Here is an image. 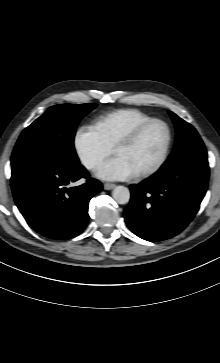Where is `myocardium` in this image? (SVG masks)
Returning <instances> with one entry per match:
<instances>
[{"instance_id":"myocardium-1","label":"myocardium","mask_w":220,"mask_h":363,"mask_svg":"<svg viewBox=\"0 0 220 363\" xmlns=\"http://www.w3.org/2000/svg\"><path fill=\"white\" fill-rule=\"evenodd\" d=\"M153 124H160L165 128L166 134H167L166 144L164 146L163 152H162L159 160L152 167L136 173L135 174L136 178H145V177H149V176L157 173L159 170L162 169V167L167 162V159L169 157V153H170V150L172 147V141H173V133H172V130H171V127L169 126V124L166 121H164L163 119L151 118L147 121H144V122L138 124L133 129H131L129 132H127L126 134L121 136L115 142V144L113 145V148H112L113 153H115V151L118 148L132 144L134 141H136V139L141 135V133L146 128H148L149 126H151Z\"/></svg>"}]
</instances>
